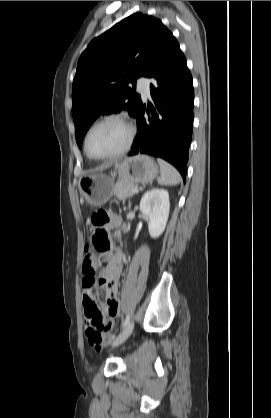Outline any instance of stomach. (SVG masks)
Segmentation results:
<instances>
[{
  "instance_id": "1",
  "label": "stomach",
  "mask_w": 271,
  "mask_h": 418,
  "mask_svg": "<svg viewBox=\"0 0 271 418\" xmlns=\"http://www.w3.org/2000/svg\"><path fill=\"white\" fill-rule=\"evenodd\" d=\"M115 169L122 180L134 184L152 182L158 174L157 164L146 155L126 158L117 163ZM79 190L87 204L98 207L106 203L111 197L113 181L104 174L95 173L80 180Z\"/></svg>"
}]
</instances>
